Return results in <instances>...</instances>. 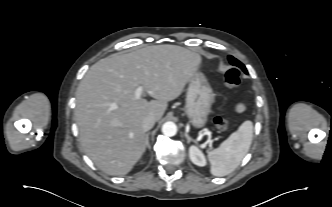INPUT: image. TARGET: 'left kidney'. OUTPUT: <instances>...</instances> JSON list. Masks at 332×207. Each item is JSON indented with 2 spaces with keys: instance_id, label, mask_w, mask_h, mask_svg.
<instances>
[{
  "instance_id": "obj_1",
  "label": "left kidney",
  "mask_w": 332,
  "mask_h": 207,
  "mask_svg": "<svg viewBox=\"0 0 332 207\" xmlns=\"http://www.w3.org/2000/svg\"><path fill=\"white\" fill-rule=\"evenodd\" d=\"M189 157L191 161L197 166H205L207 163L204 154L197 146H190Z\"/></svg>"
}]
</instances>
